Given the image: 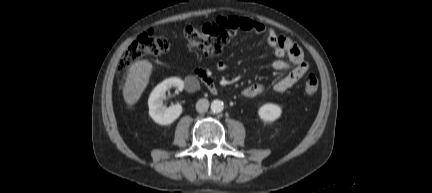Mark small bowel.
<instances>
[{
    "instance_id": "obj_1",
    "label": "small bowel",
    "mask_w": 432,
    "mask_h": 193,
    "mask_svg": "<svg viewBox=\"0 0 432 193\" xmlns=\"http://www.w3.org/2000/svg\"><path fill=\"white\" fill-rule=\"evenodd\" d=\"M218 21L222 22L232 30H242L252 32L266 37L269 47L273 50L275 59L272 67L276 70L287 71V74L279 79L273 89L276 92L283 93L291 89L308 71L309 64L306 61L302 49L289 38L279 35L274 29L268 28L261 22L246 17H223ZM228 68V64L219 61L215 64L218 72ZM190 92L195 91V85L192 81L187 83ZM264 92V86L259 83H252L242 90V95L247 98L256 97Z\"/></svg>"
}]
</instances>
